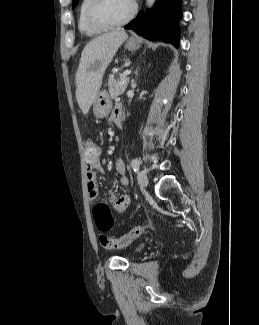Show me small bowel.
I'll return each instance as SVG.
<instances>
[{
	"mask_svg": "<svg viewBox=\"0 0 259 325\" xmlns=\"http://www.w3.org/2000/svg\"><path fill=\"white\" fill-rule=\"evenodd\" d=\"M111 120L115 123L117 117H122V106L116 104L111 112ZM100 149L98 147V156L93 159H86L87 162V189L90 199H95L98 196L97 176L103 172V167L100 162ZM116 170L120 174V185L123 187L128 186L129 179L125 175V164L123 160L116 161ZM108 200L114 205L117 213L125 210L130 204V197L128 195H119L114 191L108 193Z\"/></svg>",
	"mask_w": 259,
	"mask_h": 325,
	"instance_id": "small-bowel-1",
	"label": "small bowel"
}]
</instances>
